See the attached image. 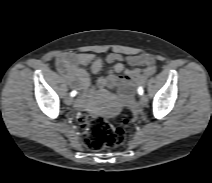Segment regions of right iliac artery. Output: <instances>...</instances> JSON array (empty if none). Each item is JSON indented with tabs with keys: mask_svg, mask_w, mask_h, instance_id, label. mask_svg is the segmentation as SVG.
Wrapping results in <instances>:
<instances>
[{
	"mask_svg": "<svg viewBox=\"0 0 212 183\" xmlns=\"http://www.w3.org/2000/svg\"><path fill=\"white\" fill-rule=\"evenodd\" d=\"M77 94V92L74 90L70 93V96L74 97Z\"/></svg>",
	"mask_w": 212,
	"mask_h": 183,
	"instance_id": "right-iliac-artery-1",
	"label": "right iliac artery"
}]
</instances>
